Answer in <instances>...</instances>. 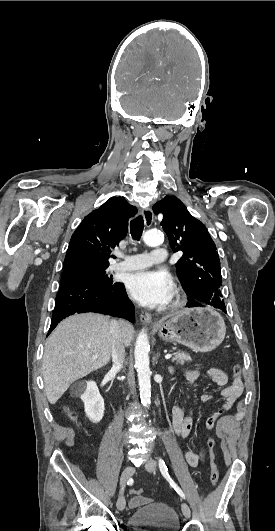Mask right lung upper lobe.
Here are the masks:
<instances>
[{
  "instance_id": "right-lung-upper-lobe-1",
  "label": "right lung upper lobe",
  "mask_w": 275,
  "mask_h": 531,
  "mask_svg": "<svg viewBox=\"0 0 275 531\" xmlns=\"http://www.w3.org/2000/svg\"><path fill=\"white\" fill-rule=\"evenodd\" d=\"M136 207L123 197H113L87 215L73 233L63 271L78 266H109L111 249L125 238Z\"/></svg>"
}]
</instances>
